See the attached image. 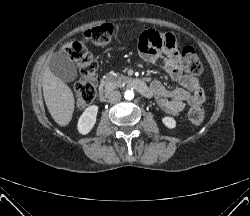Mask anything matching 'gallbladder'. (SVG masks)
I'll return each instance as SVG.
<instances>
[{"label": "gallbladder", "mask_w": 250, "mask_h": 216, "mask_svg": "<svg viewBox=\"0 0 250 216\" xmlns=\"http://www.w3.org/2000/svg\"><path fill=\"white\" fill-rule=\"evenodd\" d=\"M48 67L62 81L71 82L77 77L75 64L65 53L53 54L48 62Z\"/></svg>", "instance_id": "1"}]
</instances>
